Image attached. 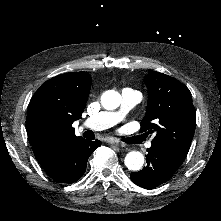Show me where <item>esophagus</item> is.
<instances>
[{
  "label": "esophagus",
  "mask_w": 221,
  "mask_h": 221,
  "mask_svg": "<svg viewBox=\"0 0 221 221\" xmlns=\"http://www.w3.org/2000/svg\"><path fill=\"white\" fill-rule=\"evenodd\" d=\"M107 143L111 145L119 146V147H124V144L117 139H107Z\"/></svg>",
  "instance_id": "esophagus-1"
}]
</instances>
